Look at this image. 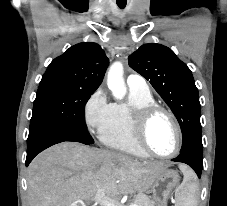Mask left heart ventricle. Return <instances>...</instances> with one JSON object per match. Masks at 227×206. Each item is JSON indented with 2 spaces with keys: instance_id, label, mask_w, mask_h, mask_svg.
I'll use <instances>...</instances> for the list:
<instances>
[{
  "instance_id": "1",
  "label": "left heart ventricle",
  "mask_w": 227,
  "mask_h": 206,
  "mask_svg": "<svg viewBox=\"0 0 227 206\" xmlns=\"http://www.w3.org/2000/svg\"><path fill=\"white\" fill-rule=\"evenodd\" d=\"M150 147L159 154H169L176 147L177 137L171 120L163 113L151 121L147 135Z\"/></svg>"
}]
</instances>
